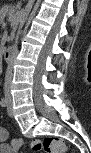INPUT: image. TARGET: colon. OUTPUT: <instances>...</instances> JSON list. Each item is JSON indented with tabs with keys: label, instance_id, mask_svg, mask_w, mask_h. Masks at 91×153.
Returning <instances> with one entry per match:
<instances>
[{
	"label": "colon",
	"instance_id": "5ec220e1",
	"mask_svg": "<svg viewBox=\"0 0 91 153\" xmlns=\"http://www.w3.org/2000/svg\"><path fill=\"white\" fill-rule=\"evenodd\" d=\"M22 145V141L16 139L15 148L18 149ZM31 148L35 152L44 153H66L69 151L64 140L59 137H47L44 139H36L32 142Z\"/></svg>",
	"mask_w": 91,
	"mask_h": 153
}]
</instances>
